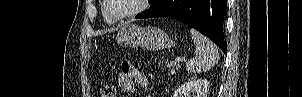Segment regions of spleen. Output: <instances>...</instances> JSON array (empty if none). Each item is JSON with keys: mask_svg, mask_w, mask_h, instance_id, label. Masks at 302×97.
Returning a JSON list of instances; mask_svg holds the SVG:
<instances>
[{"mask_svg": "<svg viewBox=\"0 0 302 97\" xmlns=\"http://www.w3.org/2000/svg\"><path fill=\"white\" fill-rule=\"evenodd\" d=\"M190 34L195 45V58L186 63V70L189 73H201L210 70L218 63V48L195 29H190Z\"/></svg>", "mask_w": 302, "mask_h": 97, "instance_id": "obj_1", "label": "spleen"}]
</instances>
